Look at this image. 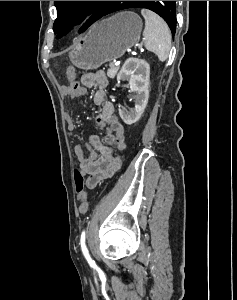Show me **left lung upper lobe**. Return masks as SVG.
Listing matches in <instances>:
<instances>
[{
    "mask_svg": "<svg viewBox=\"0 0 237 300\" xmlns=\"http://www.w3.org/2000/svg\"><path fill=\"white\" fill-rule=\"evenodd\" d=\"M176 1H121L119 10L128 8H146L161 16L168 24L173 35L176 31ZM113 1H54L57 9V19L54 22V33H58L57 38L65 35L71 26L75 25L80 17L93 13L91 18L80 29L85 31L90 25L101 17L108 14V7ZM69 26V27H68Z\"/></svg>",
    "mask_w": 237,
    "mask_h": 300,
    "instance_id": "obj_1",
    "label": "left lung upper lobe"
}]
</instances>
